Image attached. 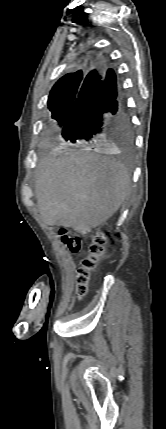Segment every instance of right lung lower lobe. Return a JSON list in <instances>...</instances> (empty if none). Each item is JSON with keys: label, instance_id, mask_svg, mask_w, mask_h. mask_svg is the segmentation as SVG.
I'll list each match as a JSON object with an SVG mask.
<instances>
[{"label": "right lung lower lobe", "instance_id": "1", "mask_svg": "<svg viewBox=\"0 0 166 429\" xmlns=\"http://www.w3.org/2000/svg\"><path fill=\"white\" fill-rule=\"evenodd\" d=\"M100 63L84 75L73 105L62 126V137L90 145L106 142L117 128L130 126L124 92L113 69L102 70Z\"/></svg>", "mask_w": 166, "mask_h": 429}]
</instances>
